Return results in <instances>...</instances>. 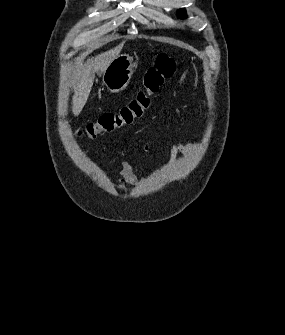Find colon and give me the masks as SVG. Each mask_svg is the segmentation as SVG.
<instances>
[{"label":"colon","mask_w":285,"mask_h":335,"mask_svg":"<svg viewBox=\"0 0 285 335\" xmlns=\"http://www.w3.org/2000/svg\"><path fill=\"white\" fill-rule=\"evenodd\" d=\"M176 70V61L168 54L156 56L154 63L147 69L143 79V89L116 112L105 113L95 122L89 123L79 136L94 139L102 133L111 132L141 118L151 104V99L171 78Z\"/></svg>","instance_id":"colon-1"}]
</instances>
